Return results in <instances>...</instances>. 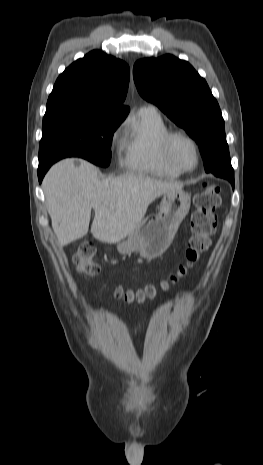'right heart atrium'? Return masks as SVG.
I'll return each instance as SVG.
<instances>
[{"label": "right heart atrium", "instance_id": "1", "mask_svg": "<svg viewBox=\"0 0 263 465\" xmlns=\"http://www.w3.org/2000/svg\"><path fill=\"white\" fill-rule=\"evenodd\" d=\"M120 139H121V127L118 126L112 131L111 136H110V145L113 149L118 147L120 143Z\"/></svg>", "mask_w": 263, "mask_h": 465}]
</instances>
